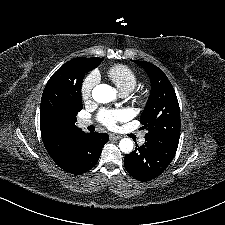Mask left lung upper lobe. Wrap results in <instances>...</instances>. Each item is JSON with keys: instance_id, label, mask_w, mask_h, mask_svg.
Here are the masks:
<instances>
[{"instance_id": "left-lung-upper-lobe-1", "label": "left lung upper lobe", "mask_w": 225, "mask_h": 225, "mask_svg": "<svg viewBox=\"0 0 225 225\" xmlns=\"http://www.w3.org/2000/svg\"><path fill=\"white\" fill-rule=\"evenodd\" d=\"M144 68L151 80V92L140 121L148 133L146 141H157L178 147L180 110L174 88L164 72L149 62L135 61Z\"/></svg>"}]
</instances>
